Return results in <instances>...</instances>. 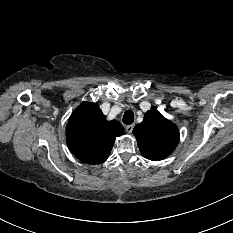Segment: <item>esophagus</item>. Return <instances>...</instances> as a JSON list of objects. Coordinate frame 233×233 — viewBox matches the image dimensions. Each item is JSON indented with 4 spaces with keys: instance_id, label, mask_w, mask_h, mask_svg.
<instances>
[{
    "instance_id": "esophagus-1",
    "label": "esophagus",
    "mask_w": 233,
    "mask_h": 233,
    "mask_svg": "<svg viewBox=\"0 0 233 233\" xmlns=\"http://www.w3.org/2000/svg\"><path fill=\"white\" fill-rule=\"evenodd\" d=\"M133 128H134V125H133V124L127 125V126L125 127V129H126V131H127L128 133H132Z\"/></svg>"
}]
</instances>
